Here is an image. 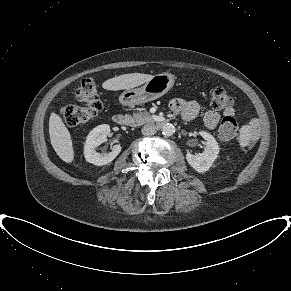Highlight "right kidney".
<instances>
[{
  "label": "right kidney",
  "instance_id": "ca27d5eb",
  "mask_svg": "<svg viewBox=\"0 0 291 291\" xmlns=\"http://www.w3.org/2000/svg\"><path fill=\"white\" fill-rule=\"evenodd\" d=\"M110 133V126L107 124L95 127L87 136L84 146V156L86 161L96 166L106 165L112 162L121 151L119 144L112 147V151L106 154L96 152V147L107 140V135Z\"/></svg>",
  "mask_w": 291,
  "mask_h": 291
}]
</instances>
